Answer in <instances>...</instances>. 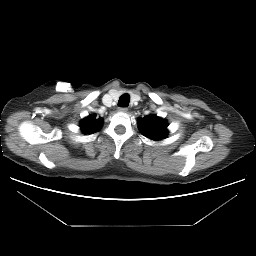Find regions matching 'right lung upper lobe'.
<instances>
[{
  "label": "right lung upper lobe",
  "mask_w": 256,
  "mask_h": 256,
  "mask_svg": "<svg viewBox=\"0 0 256 256\" xmlns=\"http://www.w3.org/2000/svg\"><path fill=\"white\" fill-rule=\"evenodd\" d=\"M102 124L103 120L101 118L96 119V115H89L82 120L80 127L85 133H94L102 127Z\"/></svg>",
  "instance_id": "cb5924a9"
}]
</instances>
